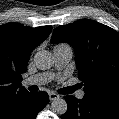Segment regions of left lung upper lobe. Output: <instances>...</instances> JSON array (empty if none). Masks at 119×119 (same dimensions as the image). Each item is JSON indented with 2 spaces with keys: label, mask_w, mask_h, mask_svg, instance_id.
Instances as JSON below:
<instances>
[{
  "label": "left lung upper lobe",
  "mask_w": 119,
  "mask_h": 119,
  "mask_svg": "<svg viewBox=\"0 0 119 119\" xmlns=\"http://www.w3.org/2000/svg\"><path fill=\"white\" fill-rule=\"evenodd\" d=\"M51 42H66L75 50L78 77L85 95L119 103V33L98 22L81 19L58 26Z\"/></svg>",
  "instance_id": "obj_1"
}]
</instances>
